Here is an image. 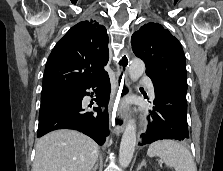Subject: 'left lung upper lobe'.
Instances as JSON below:
<instances>
[{
  "mask_svg": "<svg viewBox=\"0 0 223 171\" xmlns=\"http://www.w3.org/2000/svg\"><path fill=\"white\" fill-rule=\"evenodd\" d=\"M134 54L146 65V74L156 82L187 92L186 60L180 42L162 25L147 23L133 33Z\"/></svg>",
  "mask_w": 223,
  "mask_h": 171,
  "instance_id": "1",
  "label": "left lung upper lobe"
}]
</instances>
